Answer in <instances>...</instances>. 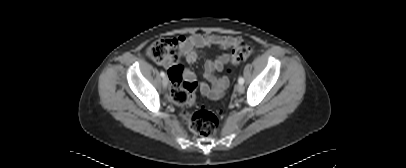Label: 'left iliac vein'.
I'll return each instance as SVG.
<instances>
[{"mask_svg":"<svg viewBox=\"0 0 406 168\" xmlns=\"http://www.w3.org/2000/svg\"><path fill=\"white\" fill-rule=\"evenodd\" d=\"M236 90L239 92V93H243V91H244V86H243V84H238L237 86H236Z\"/></svg>","mask_w":406,"mask_h":168,"instance_id":"4c4485c4","label":"left iliac vein"}]
</instances>
